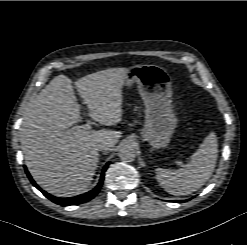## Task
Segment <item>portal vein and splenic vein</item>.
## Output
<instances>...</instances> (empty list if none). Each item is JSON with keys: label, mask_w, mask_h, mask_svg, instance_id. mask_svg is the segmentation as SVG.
Returning a JSON list of instances; mask_svg holds the SVG:
<instances>
[{"label": "portal vein and splenic vein", "mask_w": 247, "mask_h": 245, "mask_svg": "<svg viewBox=\"0 0 247 245\" xmlns=\"http://www.w3.org/2000/svg\"><path fill=\"white\" fill-rule=\"evenodd\" d=\"M91 129V122L87 121V123L85 125L82 126H74L71 131H79V130H85V131H89ZM178 164H182L180 161L178 162Z\"/></svg>", "instance_id": "1"}]
</instances>
